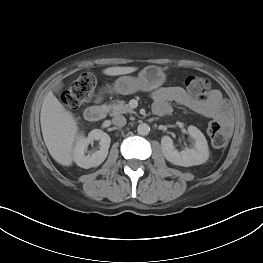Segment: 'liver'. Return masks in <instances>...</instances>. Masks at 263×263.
Segmentation results:
<instances>
[{
  "label": "liver",
  "instance_id": "6515ba94",
  "mask_svg": "<svg viewBox=\"0 0 263 263\" xmlns=\"http://www.w3.org/2000/svg\"><path fill=\"white\" fill-rule=\"evenodd\" d=\"M137 69V67H109L103 70V74L124 75ZM40 122L43 139L52 158L63 166H71L73 146L78 133L77 122L73 114L65 110L51 91L43 101Z\"/></svg>",
  "mask_w": 263,
  "mask_h": 263
}]
</instances>
